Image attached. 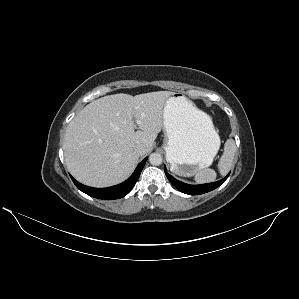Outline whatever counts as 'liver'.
Returning a JSON list of instances; mask_svg holds the SVG:
<instances>
[{
    "label": "liver",
    "mask_w": 299,
    "mask_h": 299,
    "mask_svg": "<svg viewBox=\"0 0 299 299\" xmlns=\"http://www.w3.org/2000/svg\"><path fill=\"white\" fill-rule=\"evenodd\" d=\"M172 94L119 93L86 105L69 123L64 136L68 171L79 182L98 188L126 180L139 157L151 151L163 128L166 99ZM137 145L144 146L143 155L135 152Z\"/></svg>",
    "instance_id": "liver-1"
}]
</instances>
